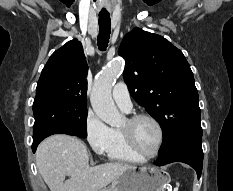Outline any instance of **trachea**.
<instances>
[{
    "instance_id": "obj_1",
    "label": "trachea",
    "mask_w": 233,
    "mask_h": 191,
    "mask_svg": "<svg viewBox=\"0 0 233 191\" xmlns=\"http://www.w3.org/2000/svg\"><path fill=\"white\" fill-rule=\"evenodd\" d=\"M99 35L97 39L98 47L101 51H105L111 33V19L109 14H99Z\"/></svg>"
}]
</instances>
